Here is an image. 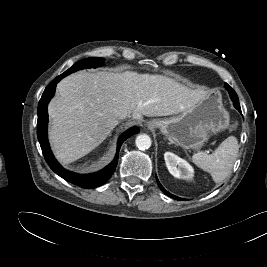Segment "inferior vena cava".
Wrapping results in <instances>:
<instances>
[{
  "mask_svg": "<svg viewBox=\"0 0 267 267\" xmlns=\"http://www.w3.org/2000/svg\"><path fill=\"white\" fill-rule=\"evenodd\" d=\"M128 115H120L119 118L120 119H124L125 117H127Z\"/></svg>",
  "mask_w": 267,
  "mask_h": 267,
  "instance_id": "inferior-vena-cava-1",
  "label": "inferior vena cava"
}]
</instances>
